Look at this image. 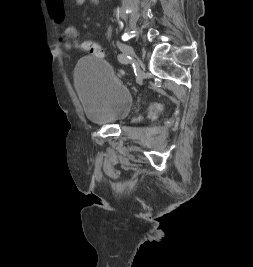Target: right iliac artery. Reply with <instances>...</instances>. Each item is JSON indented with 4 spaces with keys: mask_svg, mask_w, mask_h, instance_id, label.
Wrapping results in <instances>:
<instances>
[{
    "mask_svg": "<svg viewBox=\"0 0 253 267\" xmlns=\"http://www.w3.org/2000/svg\"><path fill=\"white\" fill-rule=\"evenodd\" d=\"M129 59H130V57L127 56V55H124V54H119L118 55V60L122 64H127L129 62Z\"/></svg>",
    "mask_w": 253,
    "mask_h": 267,
    "instance_id": "1",
    "label": "right iliac artery"
}]
</instances>
